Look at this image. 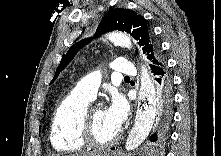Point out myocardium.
Masks as SVG:
<instances>
[{
  "label": "myocardium",
  "mask_w": 221,
  "mask_h": 156,
  "mask_svg": "<svg viewBox=\"0 0 221 156\" xmlns=\"http://www.w3.org/2000/svg\"><path fill=\"white\" fill-rule=\"evenodd\" d=\"M92 107H87L82 115L79 136L82 142L87 146L106 148L115 144L120 138V131L107 141H99L93 133Z\"/></svg>",
  "instance_id": "obj_1"
}]
</instances>
